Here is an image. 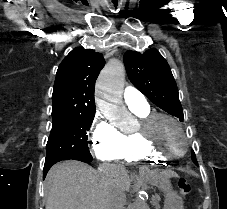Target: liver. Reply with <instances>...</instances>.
<instances>
[{
	"label": "liver",
	"instance_id": "liver-1",
	"mask_svg": "<svg viewBox=\"0 0 227 209\" xmlns=\"http://www.w3.org/2000/svg\"><path fill=\"white\" fill-rule=\"evenodd\" d=\"M114 169L104 165L95 171L80 161H65L50 169L45 209H105Z\"/></svg>",
	"mask_w": 227,
	"mask_h": 209
}]
</instances>
